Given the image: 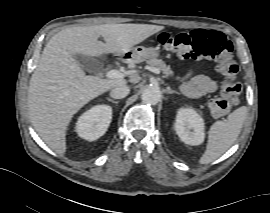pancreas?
Segmentation results:
<instances>
[{"mask_svg": "<svg viewBox=\"0 0 270 213\" xmlns=\"http://www.w3.org/2000/svg\"><path fill=\"white\" fill-rule=\"evenodd\" d=\"M147 63L150 66L158 68L160 71L163 72V74H165V77H167V78L172 77L174 74V72L172 71L170 66L166 65L165 62H163L162 60H159L156 58H151V59L147 60Z\"/></svg>", "mask_w": 270, "mask_h": 213, "instance_id": "cf45deb5", "label": "pancreas"}]
</instances>
